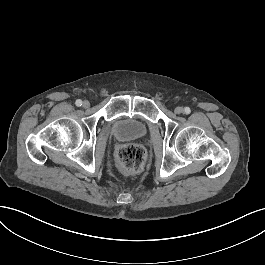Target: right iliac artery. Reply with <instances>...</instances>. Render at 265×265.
<instances>
[{
	"instance_id": "obj_1",
	"label": "right iliac artery",
	"mask_w": 265,
	"mask_h": 265,
	"mask_svg": "<svg viewBox=\"0 0 265 265\" xmlns=\"http://www.w3.org/2000/svg\"><path fill=\"white\" fill-rule=\"evenodd\" d=\"M75 104H76L77 106H81V105H82V101H81L80 99H78V100H76Z\"/></svg>"
}]
</instances>
